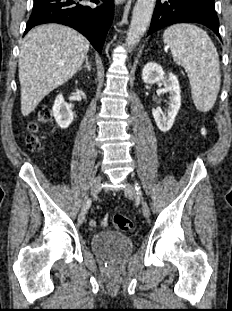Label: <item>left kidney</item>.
Instances as JSON below:
<instances>
[{
  "label": "left kidney",
  "instance_id": "5707ae66",
  "mask_svg": "<svg viewBox=\"0 0 232 311\" xmlns=\"http://www.w3.org/2000/svg\"><path fill=\"white\" fill-rule=\"evenodd\" d=\"M142 79L147 84L162 82L165 91L169 93L167 115H163L159 108L152 109V115L158 128L162 132H167L171 129L181 106V93L178 78L173 73H166L159 64L149 62L142 70Z\"/></svg>",
  "mask_w": 232,
  "mask_h": 311
}]
</instances>
